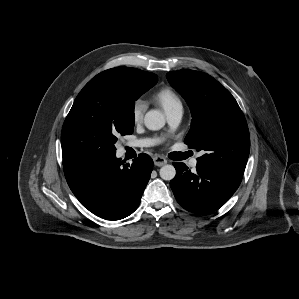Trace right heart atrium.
<instances>
[{"label": "right heart atrium", "mask_w": 299, "mask_h": 299, "mask_svg": "<svg viewBox=\"0 0 299 299\" xmlns=\"http://www.w3.org/2000/svg\"><path fill=\"white\" fill-rule=\"evenodd\" d=\"M146 105L142 100L134 101L131 108V118L135 124H139L144 117Z\"/></svg>", "instance_id": "obj_1"}]
</instances>
